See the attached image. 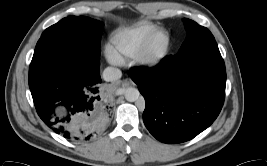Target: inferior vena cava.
<instances>
[{
    "label": "inferior vena cava",
    "mask_w": 267,
    "mask_h": 166,
    "mask_svg": "<svg viewBox=\"0 0 267 166\" xmlns=\"http://www.w3.org/2000/svg\"><path fill=\"white\" fill-rule=\"evenodd\" d=\"M122 76V72L120 69L115 67H107L103 71V78L105 81H115L120 79Z\"/></svg>",
    "instance_id": "1"
}]
</instances>
